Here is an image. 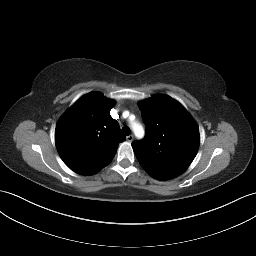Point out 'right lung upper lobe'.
<instances>
[{
    "mask_svg": "<svg viewBox=\"0 0 256 256\" xmlns=\"http://www.w3.org/2000/svg\"><path fill=\"white\" fill-rule=\"evenodd\" d=\"M115 101L99 92L81 97L59 119L55 143L64 163L74 172L92 175L108 165L126 138L110 116Z\"/></svg>",
    "mask_w": 256,
    "mask_h": 256,
    "instance_id": "cb5924a9",
    "label": "right lung upper lobe"
}]
</instances>
